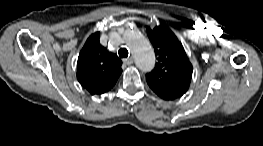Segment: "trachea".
Instances as JSON below:
<instances>
[{
    "label": "trachea",
    "mask_w": 263,
    "mask_h": 146,
    "mask_svg": "<svg viewBox=\"0 0 263 146\" xmlns=\"http://www.w3.org/2000/svg\"><path fill=\"white\" fill-rule=\"evenodd\" d=\"M118 54H119L120 58H124V57L127 58L129 55V52L126 48H121V49H119Z\"/></svg>",
    "instance_id": "obj_1"
}]
</instances>
